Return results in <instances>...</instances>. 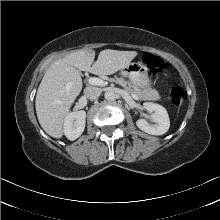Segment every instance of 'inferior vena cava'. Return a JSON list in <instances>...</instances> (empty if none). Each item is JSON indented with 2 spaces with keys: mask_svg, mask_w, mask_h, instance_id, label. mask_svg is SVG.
Segmentation results:
<instances>
[{
  "mask_svg": "<svg viewBox=\"0 0 220 220\" xmlns=\"http://www.w3.org/2000/svg\"><path fill=\"white\" fill-rule=\"evenodd\" d=\"M101 95V89L98 87H86L84 89V96L89 100H95Z\"/></svg>",
  "mask_w": 220,
  "mask_h": 220,
  "instance_id": "602c4592",
  "label": "inferior vena cava"
}]
</instances>
